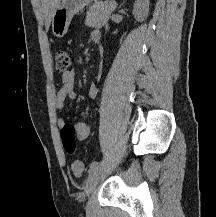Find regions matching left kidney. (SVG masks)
<instances>
[{"instance_id":"5707ae66","label":"left kidney","mask_w":216,"mask_h":217,"mask_svg":"<svg viewBox=\"0 0 216 217\" xmlns=\"http://www.w3.org/2000/svg\"><path fill=\"white\" fill-rule=\"evenodd\" d=\"M149 13V0H136L133 7V15L139 22L144 21Z\"/></svg>"}]
</instances>
